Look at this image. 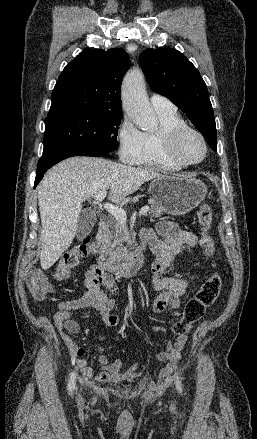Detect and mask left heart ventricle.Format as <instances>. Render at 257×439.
Segmentation results:
<instances>
[{"instance_id": "obj_1", "label": "left heart ventricle", "mask_w": 257, "mask_h": 439, "mask_svg": "<svg viewBox=\"0 0 257 439\" xmlns=\"http://www.w3.org/2000/svg\"><path fill=\"white\" fill-rule=\"evenodd\" d=\"M203 152L204 149L200 139L192 133L185 135L178 145V153L186 161L201 159Z\"/></svg>"}]
</instances>
